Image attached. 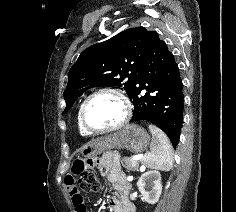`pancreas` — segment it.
Segmentation results:
<instances>
[{
    "label": "pancreas",
    "mask_w": 236,
    "mask_h": 212,
    "mask_svg": "<svg viewBox=\"0 0 236 212\" xmlns=\"http://www.w3.org/2000/svg\"><path fill=\"white\" fill-rule=\"evenodd\" d=\"M121 163L128 172L133 171L139 167V161L133 160L129 157H124Z\"/></svg>",
    "instance_id": "obj_1"
}]
</instances>
